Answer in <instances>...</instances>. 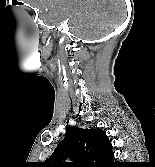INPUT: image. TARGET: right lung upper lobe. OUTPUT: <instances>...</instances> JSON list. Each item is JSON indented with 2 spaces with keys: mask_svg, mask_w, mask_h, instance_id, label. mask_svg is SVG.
Segmentation results:
<instances>
[{
  "mask_svg": "<svg viewBox=\"0 0 155 167\" xmlns=\"http://www.w3.org/2000/svg\"><path fill=\"white\" fill-rule=\"evenodd\" d=\"M68 155L73 162H64ZM114 154L106 133L100 129L70 127L44 167H112Z\"/></svg>",
  "mask_w": 155,
  "mask_h": 167,
  "instance_id": "obj_1",
  "label": "right lung upper lobe"
}]
</instances>
